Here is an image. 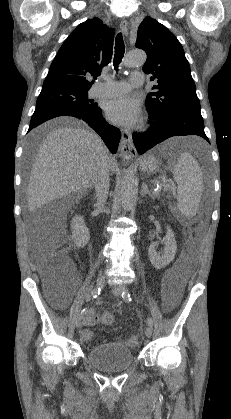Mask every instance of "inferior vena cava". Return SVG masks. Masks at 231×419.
Here are the masks:
<instances>
[{
  "instance_id": "inferior-vena-cava-1",
  "label": "inferior vena cava",
  "mask_w": 231,
  "mask_h": 419,
  "mask_svg": "<svg viewBox=\"0 0 231 419\" xmlns=\"http://www.w3.org/2000/svg\"><path fill=\"white\" fill-rule=\"evenodd\" d=\"M109 170L110 163L108 160L103 161L97 170L95 178V194L97 198V207L99 211H102L109 192Z\"/></svg>"
}]
</instances>
